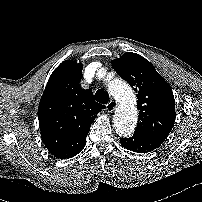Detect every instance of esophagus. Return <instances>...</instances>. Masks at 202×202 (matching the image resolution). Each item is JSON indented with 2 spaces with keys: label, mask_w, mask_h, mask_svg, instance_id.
<instances>
[{
  "label": "esophagus",
  "mask_w": 202,
  "mask_h": 202,
  "mask_svg": "<svg viewBox=\"0 0 202 202\" xmlns=\"http://www.w3.org/2000/svg\"><path fill=\"white\" fill-rule=\"evenodd\" d=\"M117 107V102L114 100H111L109 103L106 104V110L107 112L111 113L113 112Z\"/></svg>",
  "instance_id": "34e87169"
}]
</instances>
